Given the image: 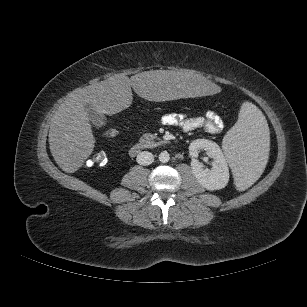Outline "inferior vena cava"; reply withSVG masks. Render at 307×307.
Here are the masks:
<instances>
[{
    "label": "inferior vena cava",
    "mask_w": 307,
    "mask_h": 307,
    "mask_svg": "<svg viewBox=\"0 0 307 307\" xmlns=\"http://www.w3.org/2000/svg\"><path fill=\"white\" fill-rule=\"evenodd\" d=\"M136 161L138 164L146 166L154 161V156L148 151H143L137 155Z\"/></svg>",
    "instance_id": "inferior-vena-cava-1"
}]
</instances>
